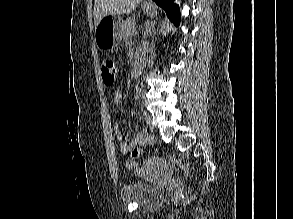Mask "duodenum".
Returning a JSON list of instances; mask_svg holds the SVG:
<instances>
[{
	"label": "duodenum",
	"instance_id": "410a0bca",
	"mask_svg": "<svg viewBox=\"0 0 293 219\" xmlns=\"http://www.w3.org/2000/svg\"><path fill=\"white\" fill-rule=\"evenodd\" d=\"M143 62L141 60H137L134 65H133V68H132V76L133 77H136L138 76L142 70H143Z\"/></svg>",
	"mask_w": 293,
	"mask_h": 219
}]
</instances>
